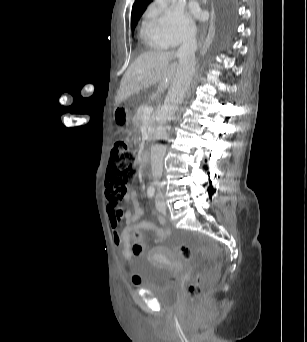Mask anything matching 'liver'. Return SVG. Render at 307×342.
Wrapping results in <instances>:
<instances>
[{
    "mask_svg": "<svg viewBox=\"0 0 307 342\" xmlns=\"http://www.w3.org/2000/svg\"><path fill=\"white\" fill-rule=\"evenodd\" d=\"M175 52H143L135 62L126 70L121 82L116 104L127 100L133 94L150 88L160 82L158 90H165L172 86L177 74L178 64L175 60Z\"/></svg>",
    "mask_w": 307,
    "mask_h": 342,
    "instance_id": "obj_1",
    "label": "liver"
}]
</instances>
